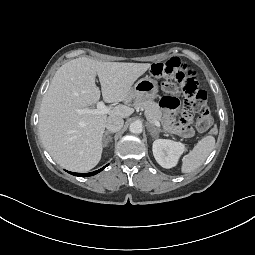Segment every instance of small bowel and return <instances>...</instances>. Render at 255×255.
<instances>
[{"mask_svg":"<svg viewBox=\"0 0 255 255\" xmlns=\"http://www.w3.org/2000/svg\"><path fill=\"white\" fill-rule=\"evenodd\" d=\"M161 106L166 127L170 132L187 138L193 136L194 132L191 127V116H182L180 119H176V109L178 107L177 99L165 97L161 100Z\"/></svg>","mask_w":255,"mask_h":255,"instance_id":"obj_1","label":"small bowel"}]
</instances>
